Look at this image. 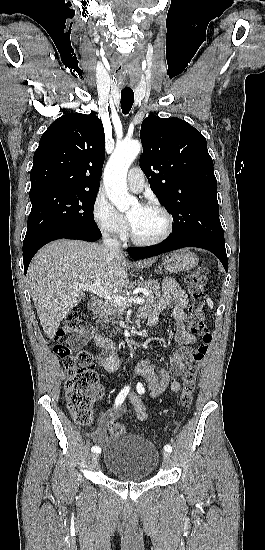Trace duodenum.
Masks as SVG:
<instances>
[{
    "instance_id": "obj_1",
    "label": "duodenum",
    "mask_w": 265,
    "mask_h": 550,
    "mask_svg": "<svg viewBox=\"0 0 265 550\" xmlns=\"http://www.w3.org/2000/svg\"><path fill=\"white\" fill-rule=\"evenodd\" d=\"M102 306V301L99 298H93L88 302V309L92 312L98 311Z\"/></svg>"
}]
</instances>
